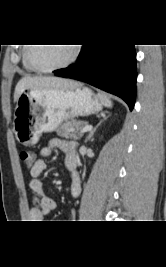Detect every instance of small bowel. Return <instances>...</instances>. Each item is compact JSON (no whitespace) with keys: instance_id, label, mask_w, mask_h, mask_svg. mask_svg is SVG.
<instances>
[{"instance_id":"obj_1","label":"small bowel","mask_w":166,"mask_h":267,"mask_svg":"<svg viewBox=\"0 0 166 267\" xmlns=\"http://www.w3.org/2000/svg\"><path fill=\"white\" fill-rule=\"evenodd\" d=\"M54 149H59L65 154V165L72 177L71 194L76 197L80 191V177L76 170V143L70 140L52 139L47 146L40 150V156L49 157ZM45 169L46 163L42 159L36 160L30 169L29 186L35 193V198L34 205L29 211V217L35 222L42 221L56 209V202L46 195L40 180ZM70 216H74L73 211L70 212Z\"/></svg>"}]
</instances>
